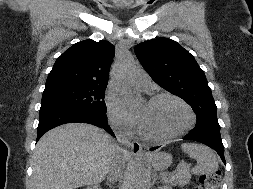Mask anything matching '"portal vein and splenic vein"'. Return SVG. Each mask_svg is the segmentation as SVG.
Returning a JSON list of instances; mask_svg holds the SVG:
<instances>
[{
  "label": "portal vein and splenic vein",
  "mask_w": 253,
  "mask_h": 189,
  "mask_svg": "<svg viewBox=\"0 0 253 189\" xmlns=\"http://www.w3.org/2000/svg\"><path fill=\"white\" fill-rule=\"evenodd\" d=\"M186 166L185 162H182L181 164H179V166L177 167V170H181L182 168H184Z\"/></svg>",
  "instance_id": "obj_1"
}]
</instances>
